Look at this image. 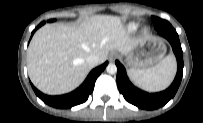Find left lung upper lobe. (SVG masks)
Wrapping results in <instances>:
<instances>
[{
  "instance_id": "obj_1",
  "label": "left lung upper lobe",
  "mask_w": 203,
  "mask_h": 123,
  "mask_svg": "<svg viewBox=\"0 0 203 123\" xmlns=\"http://www.w3.org/2000/svg\"><path fill=\"white\" fill-rule=\"evenodd\" d=\"M152 21H153V23H154L155 29H158V28H160L161 26L169 25V24H170V23L167 22L166 20L160 19V18L155 17V16L152 17Z\"/></svg>"
}]
</instances>
